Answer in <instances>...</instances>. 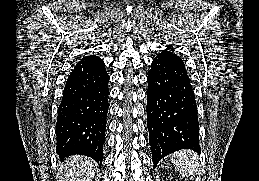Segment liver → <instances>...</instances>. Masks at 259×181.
<instances>
[{"instance_id": "obj_1", "label": "liver", "mask_w": 259, "mask_h": 181, "mask_svg": "<svg viewBox=\"0 0 259 181\" xmlns=\"http://www.w3.org/2000/svg\"><path fill=\"white\" fill-rule=\"evenodd\" d=\"M95 164L84 156H75L67 161L65 181H91L94 177Z\"/></svg>"}]
</instances>
